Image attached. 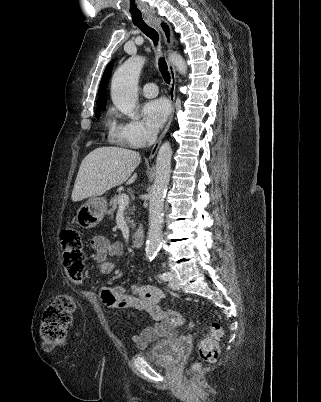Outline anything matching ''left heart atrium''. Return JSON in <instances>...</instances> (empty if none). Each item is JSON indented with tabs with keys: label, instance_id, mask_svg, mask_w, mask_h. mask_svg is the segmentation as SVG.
I'll list each match as a JSON object with an SVG mask.
<instances>
[{
	"label": "left heart atrium",
	"instance_id": "39dd6f15",
	"mask_svg": "<svg viewBox=\"0 0 321 402\" xmlns=\"http://www.w3.org/2000/svg\"><path fill=\"white\" fill-rule=\"evenodd\" d=\"M142 112L147 126L155 132L162 127L168 118L170 106L165 99H155L148 101Z\"/></svg>",
	"mask_w": 321,
	"mask_h": 402
}]
</instances>
